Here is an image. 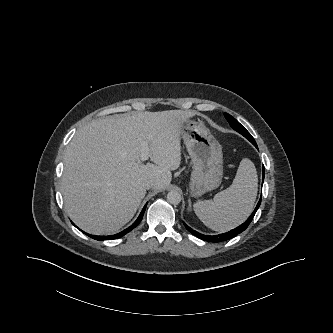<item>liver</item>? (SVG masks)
<instances>
[{
	"label": "liver",
	"mask_w": 333,
	"mask_h": 333,
	"mask_svg": "<svg viewBox=\"0 0 333 333\" xmlns=\"http://www.w3.org/2000/svg\"><path fill=\"white\" fill-rule=\"evenodd\" d=\"M182 110L140 112L96 119L80 128L64 156L65 210L82 230L111 234L127 224L146 195L145 183L166 188L181 164ZM147 143L150 160L141 162Z\"/></svg>",
	"instance_id": "1"
}]
</instances>
